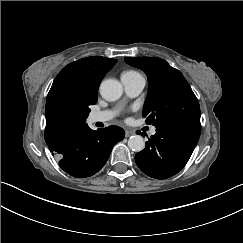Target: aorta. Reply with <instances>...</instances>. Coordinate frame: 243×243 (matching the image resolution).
I'll list each match as a JSON object with an SVG mask.
<instances>
[{
    "label": "aorta",
    "mask_w": 243,
    "mask_h": 243,
    "mask_svg": "<svg viewBox=\"0 0 243 243\" xmlns=\"http://www.w3.org/2000/svg\"><path fill=\"white\" fill-rule=\"evenodd\" d=\"M122 93L123 86L115 79L104 80L100 85V94L107 101L118 100ZM128 147L135 152L142 151L145 148V141L140 135H132L128 140Z\"/></svg>",
    "instance_id": "obj_1"
}]
</instances>
